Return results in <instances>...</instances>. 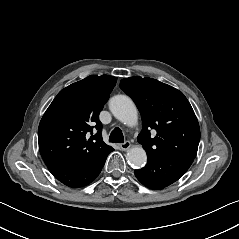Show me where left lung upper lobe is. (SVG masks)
Masks as SVG:
<instances>
[{"instance_id": "left-lung-upper-lobe-1", "label": "left lung upper lobe", "mask_w": 239, "mask_h": 239, "mask_svg": "<svg viewBox=\"0 0 239 239\" xmlns=\"http://www.w3.org/2000/svg\"><path fill=\"white\" fill-rule=\"evenodd\" d=\"M119 86L141 113L143 129L137 141L146 150L147 157H196L199 123L182 92L152 78H126ZM151 129L157 132L154 138Z\"/></svg>"}]
</instances>
